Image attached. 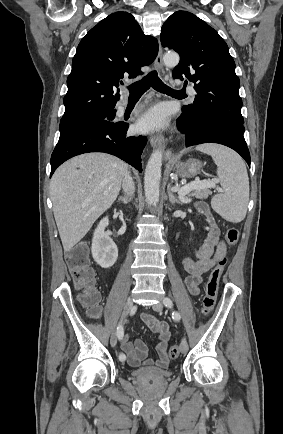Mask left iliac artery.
Wrapping results in <instances>:
<instances>
[{"mask_svg":"<svg viewBox=\"0 0 283 434\" xmlns=\"http://www.w3.org/2000/svg\"><path fill=\"white\" fill-rule=\"evenodd\" d=\"M163 304L168 308H172V306H173L172 300L168 297L163 299ZM172 318L175 320H180L181 315L177 311H173Z\"/></svg>","mask_w":283,"mask_h":434,"instance_id":"44dca946","label":"left iliac artery"}]
</instances>
